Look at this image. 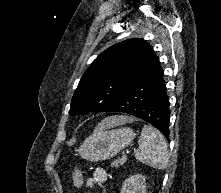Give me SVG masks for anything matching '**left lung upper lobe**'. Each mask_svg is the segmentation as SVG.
<instances>
[{
    "instance_id": "5c2ea615",
    "label": "left lung upper lobe",
    "mask_w": 221,
    "mask_h": 193,
    "mask_svg": "<svg viewBox=\"0 0 221 193\" xmlns=\"http://www.w3.org/2000/svg\"><path fill=\"white\" fill-rule=\"evenodd\" d=\"M157 62L152 47L143 39H128L109 47L82 76L69 114L106 112L137 77Z\"/></svg>"
}]
</instances>
